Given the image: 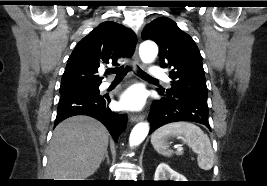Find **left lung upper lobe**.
<instances>
[{"label": "left lung upper lobe", "mask_w": 267, "mask_h": 186, "mask_svg": "<svg viewBox=\"0 0 267 186\" xmlns=\"http://www.w3.org/2000/svg\"><path fill=\"white\" fill-rule=\"evenodd\" d=\"M144 40L151 39L159 45L161 67L171 69V88L160 87V93H180L207 100V86L202 57L193 39L167 17H159L142 31Z\"/></svg>", "instance_id": "left-lung-upper-lobe-1"}]
</instances>
